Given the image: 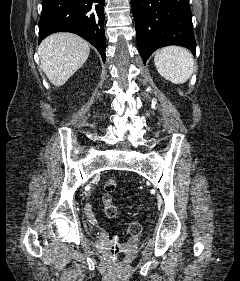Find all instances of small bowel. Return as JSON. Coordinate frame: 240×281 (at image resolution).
<instances>
[{
	"instance_id": "small-bowel-1",
	"label": "small bowel",
	"mask_w": 240,
	"mask_h": 281,
	"mask_svg": "<svg viewBox=\"0 0 240 281\" xmlns=\"http://www.w3.org/2000/svg\"><path fill=\"white\" fill-rule=\"evenodd\" d=\"M87 211H88V213H89L90 215L93 214V212H92V210H91L90 208H88Z\"/></svg>"
}]
</instances>
